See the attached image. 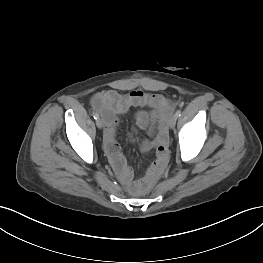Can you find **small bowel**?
Wrapping results in <instances>:
<instances>
[{"label": "small bowel", "instance_id": "1", "mask_svg": "<svg viewBox=\"0 0 263 263\" xmlns=\"http://www.w3.org/2000/svg\"><path fill=\"white\" fill-rule=\"evenodd\" d=\"M93 108L99 112L105 122L104 148L109 161L121 182L131 185L133 172L127 165L121 148L116 141V127L119 115L129 111L132 107L147 108L136 113V123L141 129L147 130L150 139L141 142L143 151L156 149V159L151 165L148 175H157L168 159L167 153V119L173 110V105L159 94L132 90L121 93L117 90L99 92L92 98Z\"/></svg>", "mask_w": 263, "mask_h": 263}]
</instances>
